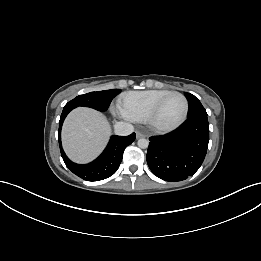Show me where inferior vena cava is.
<instances>
[{"instance_id": "602c4592", "label": "inferior vena cava", "mask_w": 261, "mask_h": 261, "mask_svg": "<svg viewBox=\"0 0 261 261\" xmlns=\"http://www.w3.org/2000/svg\"><path fill=\"white\" fill-rule=\"evenodd\" d=\"M134 131L132 124L127 122H116L114 125V132L120 136L130 135Z\"/></svg>"}]
</instances>
